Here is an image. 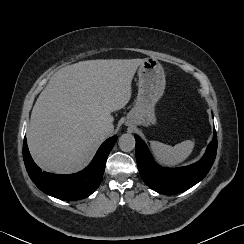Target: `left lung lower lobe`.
I'll use <instances>...</instances> for the list:
<instances>
[{
    "label": "left lung lower lobe",
    "instance_id": "0a47b994",
    "mask_svg": "<svg viewBox=\"0 0 244 244\" xmlns=\"http://www.w3.org/2000/svg\"><path fill=\"white\" fill-rule=\"evenodd\" d=\"M214 136L216 137V133ZM134 137L137 165L143 181L153 190L165 195L184 192L197 184L209 172L216 157L217 139L214 138L198 162L176 169L162 168L153 162L146 144L140 137Z\"/></svg>",
    "mask_w": 244,
    "mask_h": 244
}]
</instances>
